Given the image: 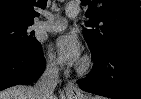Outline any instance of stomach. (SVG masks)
Listing matches in <instances>:
<instances>
[{"instance_id":"obj_1","label":"stomach","mask_w":141,"mask_h":99,"mask_svg":"<svg viewBox=\"0 0 141 99\" xmlns=\"http://www.w3.org/2000/svg\"><path fill=\"white\" fill-rule=\"evenodd\" d=\"M68 99H88L86 96H80V97H77V96H74V97H69Z\"/></svg>"}]
</instances>
